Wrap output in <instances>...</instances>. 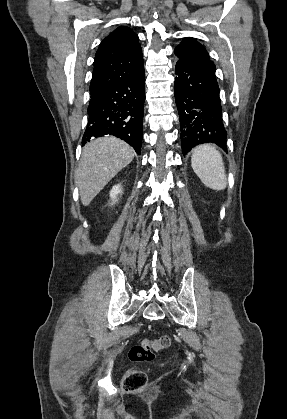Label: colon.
Returning a JSON list of instances; mask_svg holds the SVG:
<instances>
[{
    "mask_svg": "<svg viewBox=\"0 0 287 419\" xmlns=\"http://www.w3.org/2000/svg\"><path fill=\"white\" fill-rule=\"evenodd\" d=\"M170 344L169 336L163 335L157 339H144L134 345L129 351V358L134 363L153 361L157 352L167 348ZM148 377L140 367H133L124 376L122 388L125 391H135L147 385Z\"/></svg>",
    "mask_w": 287,
    "mask_h": 419,
    "instance_id": "colon-1",
    "label": "colon"
}]
</instances>
